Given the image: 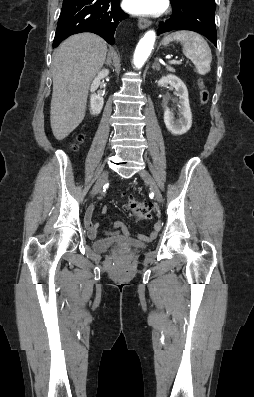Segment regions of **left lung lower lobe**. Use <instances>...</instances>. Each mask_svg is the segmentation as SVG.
Segmentation results:
<instances>
[{"label":"left lung lower lobe","instance_id":"0a47b994","mask_svg":"<svg viewBox=\"0 0 254 397\" xmlns=\"http://www.w3.org/2000/svg\"><path fill=\"white\" fill-rule=\"evenodd\" d=\"M171 17L159 24L157 35L177 29L198 32L216 47L215 0H170Z\"/></svg>","mask_w":254,"mask_h":397}]
</instances>
